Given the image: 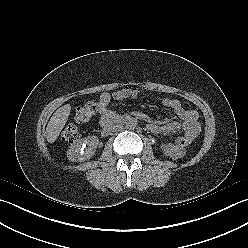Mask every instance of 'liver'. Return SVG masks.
Returning a JSON list of instances; mask_svg holds the SVG:
<instances>
[{"instance_id": "obj_1", "label": "liver", "mask_w": 248, "mask_h": 248, "mask_svg": "<svg viewBox=\"0 0 248 248\" xmlns=\"http://www.w3.org/2000/svg\"><path fill=\"white\" fill-rule=\"evenodd\" d=\"M71 106L66 104L58 108L50 118L46 127V139L49 143L56 141L70 115Z\"/></svg>"}]
</instances>
